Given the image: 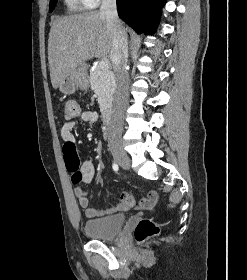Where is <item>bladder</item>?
Returning a JSON list of instances; mask_svg holds the SVG:
<instances>
[{
  "instance_id": "1",
  "label": "bladder",
  "mask_w": 247,
  "mask_h": 280,
  "mask_svg": "<svg viewBox=\"0 0 247 280\" xmlns=\"http://www.w3.org/2000/svg\"><path fill=\"white\" fill-rule=\"evenodd\" d=\"M126 218L124 215H113L91 219L84 224V233L88 238L96 240H112L120 235Z\"/></svg>"
}]
</instances>
